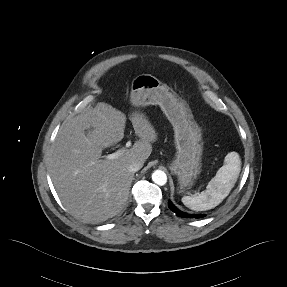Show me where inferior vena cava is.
I'll return each mask as SVG.
<instances>
[{
  "label": "inferior vena cava",
  "mask_w": 287,
  "mask_h": 287,
  "mask_svg": "<svg viewBox=\"0 0 287 287\" xmlns=\"http://www.w3.org/2000/svg\"><path fill=\"white\" fill-rule=\"evenodd\" d=\"M141 168H142V163L136 162V161L131 162L127 167V169L132 173L139 171Z\"/></svg>",
  "instance_id": "1"
}]
</instances>
